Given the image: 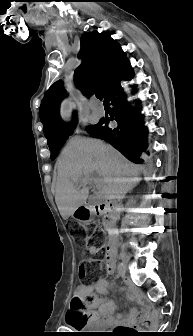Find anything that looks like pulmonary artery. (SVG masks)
Segmentation results:
<instances>
[{
	"instance_id": "e3ab8cb5",
	"label": "pulmonary artery",
	"mask_w": 193,
	"mask_h": 336,
	"mask_svg": "<svg viewBox=\"0 0 193 336\" xmlns=\"http://www.w3.org/2000/svg\"><path fill=\"white\" fill-rule=\"evenodd\" d=\"M90 109H91L92 113H94L96 115L101 116V115L104 114V108L102 106L97 105L95 99L90 100Z\"/></svg>"
}]
</instances>
